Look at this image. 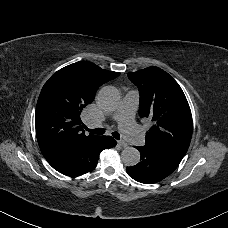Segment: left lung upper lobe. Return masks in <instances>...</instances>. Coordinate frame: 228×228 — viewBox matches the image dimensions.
I'll list each match as a JSON object with an SVG mask.
<instances>
[{"label": "left lung upper lobe", "instance_id": "1", "mask_svg": "<svg viewBox=\"0 0 228 228\" xmlns=\"http://www.w3.org/2000/svg\"><path fill=\"white\" fill-rule=\"evenodd\" d=\"M140 92L139 116L152 121L146 145L185 155L192 137V115L178 83L164 70L148 67L128 73Z\"/></svg>", "mask_w": 228, "mask_h": 228}]
</instances>
